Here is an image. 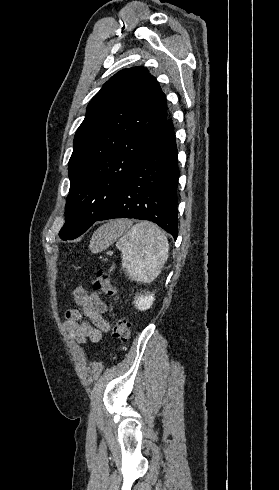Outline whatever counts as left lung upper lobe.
I'll use <instances>...</instances> for the list:
<instances>
[{"label":"left lung upper lobe","mask_w":279,"mask_h":490,"mask_svg":"<svg viewBox=\"0 0 279 490\" xmlns=\"http://www.w3.org/2000/svg\"><path fill=\"white\" fill-rule=\"evenodd\" d=\"M168 118L166 96L146 68L123 69L104 84L74 137L61 239L82 235L109 209L143 148Z\"/></svg>","instance_id":"5c2ea615"}]
</instances>
